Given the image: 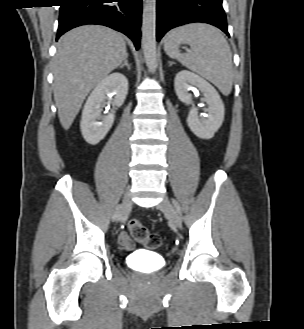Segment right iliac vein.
Wrapping results in <instances>:
<instances>
[{"mask_svg":"<svg viewBox=\"0 0 304 329\" xmlns=\"http://www.w3.org/2000/svg\"><path fill=\"white\" fill-rule=\"evenodd\" d=\"M131 206H132L131 195H130V192L127 191L124 194L123 201H122V206H121V209L119 211V214H118L116 220L118 221L121 218H123L130 211Z\"/></svg>","mask_w":304,"mask_h":329,"instance_id":"63e3f726","label":"right iliac vein"}]
</instances>
